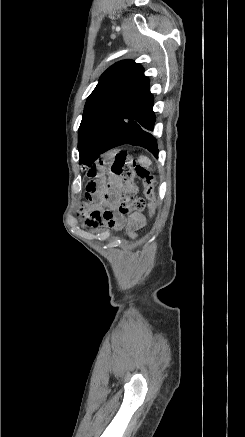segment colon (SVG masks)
I'll use <instances>...</instances> for the list:
<instances>
[{
    "label": "colon",
    "mask_w": 245,
    "mask_h": 437,
    "mask_svg": "<svg viewBox=\"0 0 245 437\" xmlns=\"http://www.w3.org/2000/svg\"><path fill=\"white\" fill-rule=\"evenodd\" d=\"M114 166L111 172L122 177L125 188L119 199L118 212L127 215L132 212L141 211L146 207V201L136 195L137 188L135 178L139 177L145 188V195L149 200L148 206L151 214L156 210V197L154 188V176L151 171L139 165L135 159L126 151H121L114 157Z\"/></svg>",
    "instance_id": "5ec220e1"
}]
</instances>
